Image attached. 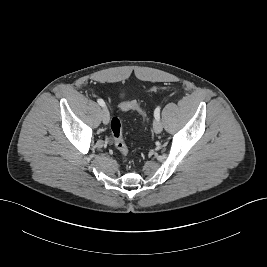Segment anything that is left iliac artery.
Returning <instances> with one entry per match:
<instances>
[{
  "label": "left iliac artery",
  "instance_id": "1",
  "mask_svg": "<svg viewBox=\"0 0 267 267\" xmlns=\"http://www.w3.org/2000/svg\"><path fill=\"white\" fill-rule=\"evenodd\" d=\"M160 109H161L160 106H158L154 111V117L157 120H160Z\"/></svg>",
  "mask_w": 267,
  "mask_h": 267
}]
</instances>
